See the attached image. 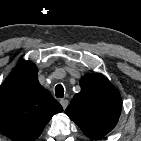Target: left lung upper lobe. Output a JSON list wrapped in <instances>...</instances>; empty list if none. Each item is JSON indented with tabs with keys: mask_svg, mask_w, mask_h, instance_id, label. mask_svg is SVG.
Masks as SVG:
<instances>
[{
	"mask_svg": "<svg viewBox=\"0 0 141 141\" xmlns=\"http://www.w3.org/2000/svg\"><path fill=\"white\" fill-rule=\"evenodd\" d=\"M65 113L91 139L108 134L117 124L122 100L117 89L102 75L87 74Z\"/></svg>",
	"mask_w": 141,
	"mask_h": 141,
	"instance_id": "5c2ea615",
	"label": "left lung upper lobe"
}]
</instances>
